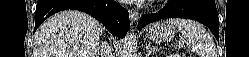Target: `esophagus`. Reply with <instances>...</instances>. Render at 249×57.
<instances>
[{
    "label": "esophagus",
    "instance_id": "obj_1",
    "mask_svg": "<svg viewBox=\"0 0 249 57\" xmlns=\"http://www.w3.org/2000/svg\"><path fill=\"white\" fill-rule=\"evenodd\" d=\"M131 23H135L139 19V13L134 10H129Z\"/></svg>",
    "mask_w": 249,
    "mask_h": 57
}]
</instances>
